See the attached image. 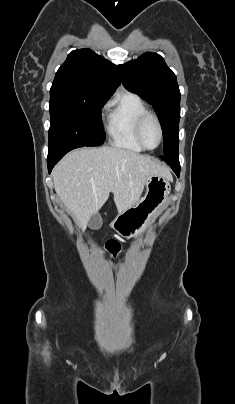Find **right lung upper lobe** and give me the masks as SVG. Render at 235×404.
<instances>
[{
    "mask_svg": "<svg viewBox=\"0 0 235 404\" xmlns=\"http://www.w3.org/2000/svg\"><path fill=\"white\" fill-rule=\"evenodd\" d=\"M120 84L117 67L90 49L72 51L58 69L50 91L107 100Z\"/></svg>",
    "mask_w": 235,
    "mask_h": 404,
    "instance_id": "cb5924a9",
    "label": "right lung upper lobe"
}]
</instances>
